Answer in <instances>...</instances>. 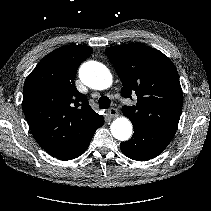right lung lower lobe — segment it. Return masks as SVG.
<instances>
[{
    "instance_id": "right-lung-lower-lobe-1",
    "label": "right lung lower lobe",
    "mask_w": 211,
    "mask_h": 211,
    "mask_svg": "<svg viewBox=\"0 0 211 211\" xmlns=\"http://www.w3.org/2000/svg\"><path fill=\"white\" fill-rule=\"evenodd\" d=\"M104 124V121L95 129L93 130L85 139L80 141L77 145H75L69 151L57 156L56 158L59 160H71L74 158L79 157L82 155L89 146V143L95 133V131Z\"/></svg>"
}]
</instances>
